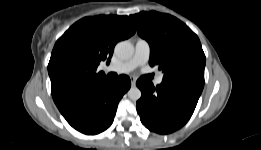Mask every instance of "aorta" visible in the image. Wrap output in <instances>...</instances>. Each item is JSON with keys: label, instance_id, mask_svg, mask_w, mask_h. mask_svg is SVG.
<instances>
[{"label": "aorta", "instance_id": "762f6f07", "mask_svg": "<svg viewBox=\"0 0 261 150\" xmlns=\"http://www.w3.org/2000/svg\"><path fill=\"white\" fill-rule=\"evenodd\" d=\"M134 53V47L129 41H121L115 46V54L121 59H129ZM128 97L137 101L141 98V91L137 87H131L128 91Z\"/></svg>", "mask_w": 261, "mask_h": 150}]
</instances>
